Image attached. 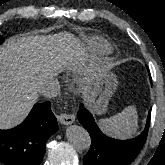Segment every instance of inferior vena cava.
Instances as JSON below:
<instances>
[{"mask_svg": "<svg viewBox=\"0 0 165 165\" xmlns=\"http://www.w3.org/2000/svg\"><path fill=\"white\" fill-rule=\"evenodd\" d=\"M60 85L57 81H47L40 89V93L46 98H53L59 94Z\"/></svg>", "mask_w": 165, "mask_h": 165, "instance_id": "obj_1", "label": "inferior vena cava"}]
</instances>
